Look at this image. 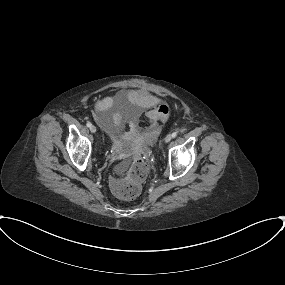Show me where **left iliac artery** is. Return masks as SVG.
<instances>
[{"label": "left iliac artery", "mask_w": 285, "mask_h": 285, "mask_svg": "<svg viewBox=\"0 0 285 285\" xmlns=\"http://www.w3.org/2000/svg\"><path fill=\"white\" fill-rule=\"evenodd\" d=\"M177 136V132L172 133V137L175 138Z\"/></svg>", "instance_id": "44dca946"}]
</instances>
